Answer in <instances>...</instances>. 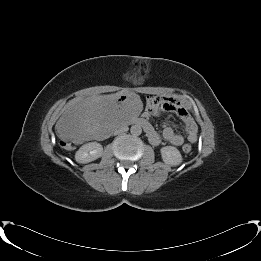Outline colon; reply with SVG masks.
I'll return each instance as SVG.
<instances>
[{
  "label": "colon",
  "mask_w": 261,
  "mask_h": 261,
  "mask_svg": "<svg viewBox=\"0 0 261 261\" xmlns=\"http://www.w3.org/2000/svg\"><path fill=\"white\" fill-rule=\"evenodd\" d=\"M64 144H65V143H64ZM65 145L67 146L68 143H66ZM191 150H192V147H191L189 144H185V145L183 146V151H184L185 153H190Z\"/></svg>",
  "instance_id": "5ec220e1"
}]
</instances>
